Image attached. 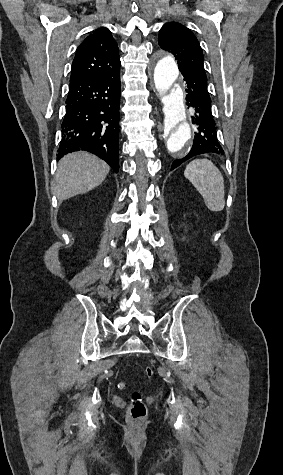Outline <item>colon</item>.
<instances>
[{"label":"colon","mask_w":283,"mask_h":475,"mask_svg":"<svg viewBox=\"0 0 283 475\" xmlns=\"http://www.w3.org/2000/svg\"><path fill=\"white\" fill-rule=\"evenodd\" d=\"M144 373L145 377L150 379L154 375V368L152 366H147ZM128 416L134 421L144 420L147 416V406L140 390H136L131 394Z\"/></svg>","instance_id":"1"}]
</instances>
